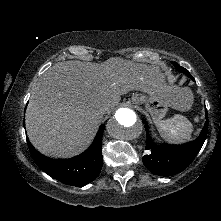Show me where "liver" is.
Listing matches in <instances>:
<instances>
[{
	"mask_svg": "<svg viewBox=\"0 0 221 221\" xmlns=\"http://www.w3.org/2000/svg\"><path fill=\"white\" fill-rule=\"evenodd\" d=\"M132 90L165 97L181 110L177 97L166 95L158 67L118 57L103 63L58 62L32 90L25 117L28 137L46 156H75L93 140L103 116L99 109L112 111L120 96Z\"/></svg>",
	"mask_w": 221,
	"mask_h": 221,
	"instance_id": "liver-1",
	"label": "liver"
}]
</instances>
